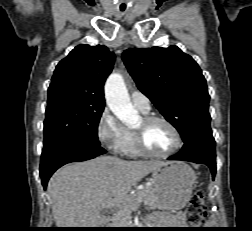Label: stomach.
<instances>
[{
  "mask_svg": "<svg viewBox=\"0 0 252 231\" xmlns=\"http://www.w3.org/2000/svg\"><path fill=\"white\" fill-rule=\"evenodd\" d=\"M196 176L190 166L183 162H170L152 172L156 196L155 208L180 210L189 201Z\"/></svg>",
  "mask_w": 252,
  "mask_h": 231,
  "instance_id": "0dacf381",
  "label": "stomach"
}]
</instances>
